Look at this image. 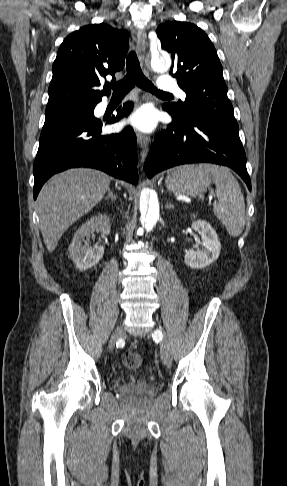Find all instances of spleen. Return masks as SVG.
<instances>
[{
	"mask_svg": "<svg viewBox=\"0 0 287 486\" xmlns=\"http://www.w3.org/2000/svg\"><path fill=\"white\" fill-rule=\"evenodd\" d=\"M201 166L215 176L218 203L213 207L214 215L231 237H238L245 227L246 215L244 197L237 179L225 167L213 164ZM199 198L204 199L202 194Z\"/></svg>",
	"mask_w": 287,
	"mask_h": 486,
	"instance_id": "1",
	"label": "spleen"
}]
</instances>
